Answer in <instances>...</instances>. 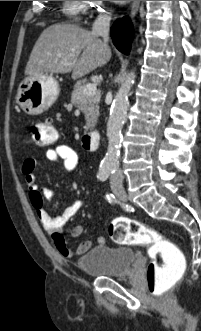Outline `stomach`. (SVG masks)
<instances>
[{"mask_svg":"<svg viewBox=\"0 0 201 331\" xmlns=\"http://www.w3.org/2000/svg\"><path fill=\"white\" fill-rule=\"evenodd\" d=\"M58 81L52 75L28 76L19 85L17 103L28 115H40L59 96Z\"/></svg>","mask_w":201,"mask_h":331,"instance_id":"0dacf381","label":"stomach"}]
</instances>
